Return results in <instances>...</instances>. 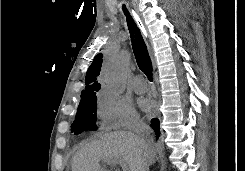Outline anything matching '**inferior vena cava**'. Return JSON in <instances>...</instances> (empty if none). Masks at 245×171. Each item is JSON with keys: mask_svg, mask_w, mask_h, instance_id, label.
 <instances>
[{"mask_svg": "<svg viewBox=\"0 0 245 171\" xmlns=\"http://www.w3.org/2000/svg\"><path fill=\"white\" fill-rule=\"evenodd\" d=\"M135 131L138 135H140L141 142L146 150H150L152 145H151V129L144 123H140L135 127ZM148 166L149 164H144V166L141 168V171H148Z\"/></svg>", "mask_w": 245, "mask_h": 171, "instance_id": "obj_1", "label": "inferior vena cava"}]
</instances>
